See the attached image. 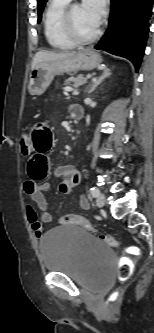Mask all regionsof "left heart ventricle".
<instances>
[{
    "label": "left heart ventricle",
    "mask_w": 154,
    "mask_h": 333,
    "mask_svg": "<svg viewBox=\"0 0 154 333\" xmlns=\"http://www.w3.org/2000/svg\"><path fill=\"white\" fill-rule=\"evenodd\" d=\"M71 15L74 28L80 36L89 37L97 30L98 27L87 18L80 5L72 8Z\"/></svg>",
    "instance_id": "b2bd125f"
}]
</instances>
